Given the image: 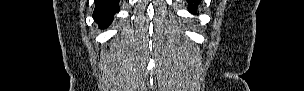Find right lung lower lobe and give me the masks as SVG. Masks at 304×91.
I'll return each instance as SVG.
<instances>
[{
	"instance_id": "1",
	"label": "right lung lower lobe",
	"mask_w": 304,
	"mask_h": 91,
	"mask_svg": "<svg viewBox=\"0 0 304 91\" xmlns=\"http://www.w3.org/2000/svg\"><path fill=\"white\" fill-rule=\"evenodd\" d=\"M117 12H119V0H95L93 18L100 28H106Z\"/></svg>"
}]
</instances>
